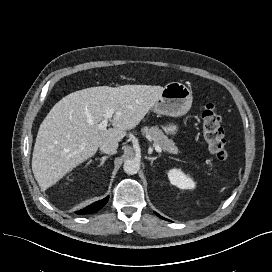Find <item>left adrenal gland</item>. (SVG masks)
Wrapping results in <instances>:
<instances>
[{
	"label": "left adrenal gland",
	"mask_w": 272,
	"mask_h": 272,
	"mask_svg": "<svg viewBox=\"0 0 272 272\" xmlns=\"http://www.w3.org/2000/svg\"><path fill=\"white\" fill-rule=\"evenodd\" d=\"M159 157H160V155L155 156V157H147V159L151 161V165H152V164H153V161L156 160V159L159 158Z\"/></svg>",
	"instance_id": "left-adrenal-gland-1"
}]
</instances>
